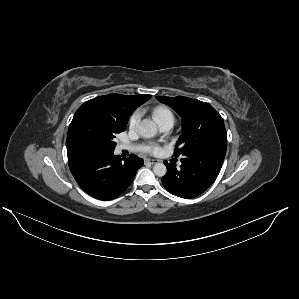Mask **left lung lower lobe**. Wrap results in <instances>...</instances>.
Wrapping results in <instances>:
<instances>
[{"label":"left lung lower lobe","mask_w":299,"mask_h":299,"mask_svg":"<svg viewBox=\"0 0 299 299\" xmlns=\"http://www.w3.org/2000/svg\"><path fill=\"white\" fill-rule=\"evenodd\" d=\"M226 148H205L188 153L181 159L180 169L173 163L164 164L167 173L162 183L168 192L181 198H193L206 191L217 178Z\"/></svg>","instance_id":"left-lung-lower-lobe-1"}]
</instances>
